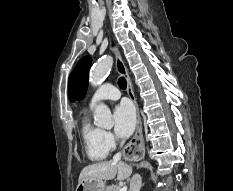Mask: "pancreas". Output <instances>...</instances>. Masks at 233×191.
<instances>
[{
	"instance_id": "obj_1",
	"label": "pancreas",
	"mask_w": 233,
	"mask_h": 191,
	"mask_svg": "<svg viewBox=\"0 0 233 191\" xmlns=\"http://www.w3.org/2000/svg\"><path fill=\"white\" fill-rule=\"evenodd\" d=\"M121 187L118 185H111L106 188V191H120Z\"/></svg>"
}]
</instances>
